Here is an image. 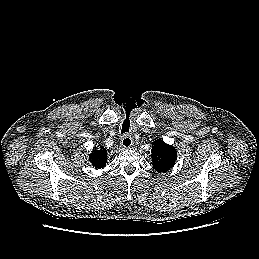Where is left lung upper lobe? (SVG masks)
<instances>
[{
	"mask_svg": "<svg viewBox=\"0 0 259 259\" xmlns=\"http://www.w3.org/2000/svg\"><path fill=\"white\" fill-rule=\"evenodd\" d=\"M151 158L153 168L157 172H166L174 166L177 158V151L173 146L158 139L152 144Z\"/></svg>",
	"mask_w": 259,
	"mask_h": 259,
	"instance_id": "1",
	"label": "left lung upper lobe"
}]
</instances>
